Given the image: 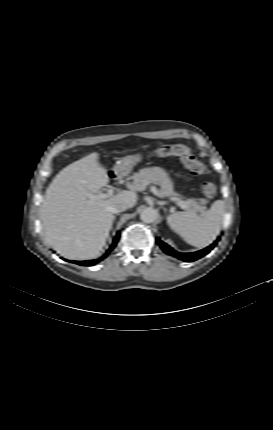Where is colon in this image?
<instances>
[{"instance_id":"colon-1","label":"colon","mask_w":273,"mask_h":430,"mask_svg":"<svg viewBox=\"0 0 273 430\" xmlns=\"http://www.w3.org/2000/svg\"><path fill=\"white\" fill-rule=\"evenodd\" d=\"M155 154L161 156H178L184 166L195 175H203L208 172L207 167L184 145H162L155 150ZM201 189L203 195L209 199L213 198L217 192V187L213 182L203 183Z\"/></svg>"}]
</instances>
